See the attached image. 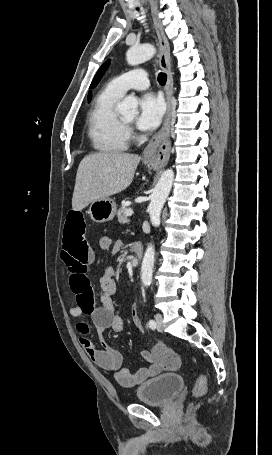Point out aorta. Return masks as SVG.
<instances>
[{"label":"aorta","mask_w":272,"mask_h":455,"mask_svg":"<svg viewBox=\"0 0 272 455\" xmlns=\"http://www.w3.org/2000/svg\"><path fill=\"white\" fill-rule=\"evenodd\" d=\"M156 53V49L151 44L133 46L126 53V60L129 65H138L150 60ZM138 101L133 95L127 96L118 106L119 112L124 116L134 117L138 114ZM174 181V172L172 169L165 170L151 195V201L148 206L150 220L153 225L160 223V216L165 201L170 193ZM154 246L150 244L143 257L141 266V280L144 286L148 287L152 282V273L154 267Z\"/></svg>","instance_id":"762f6f07"}]
</instances>
